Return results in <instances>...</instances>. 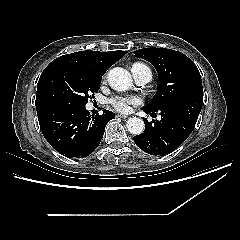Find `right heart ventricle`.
Here are the masks:
<instances>
[{
	"label": "right heart ventricle",
	"instance_id": "1",
	"mask_svg": "<svg viewBox=\"0 0 240 240\" xmlns=\"http://www.w3.org/2000/svg\"><path fill=\"white\" fill-rule=\"evenodd\" d=\"M134 65H142V66H145V65H143V64H141V63H135ZM134 65H133V66H134Z\"/></svg>",
	"mask_w": 240,
	"mask_h": 240
}]
</instances>
